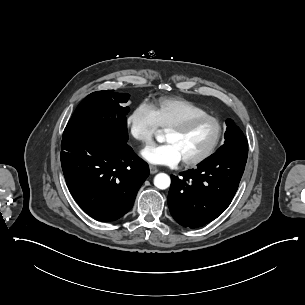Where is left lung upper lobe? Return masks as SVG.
Returning a JSON list of instances; mask_svg holds the SVG:
<instances>
[{
	"label": "left lung upper lobe",
	"mask_w": 305,
	"mask_h": 305,
	"mask_svg": "<svg viewBox=\"0 0 305 305\" xmlns=\"http://www.w3.org/2000/svg\"><path fill=\"white\" fill-rule=\"evenodd\" d=\"M226 124L225 143L218 151L248 148V142L240 128L231 119H227Z\"/></svg>",
	"instance_id": "5c2ea615"
}]
</instances>
